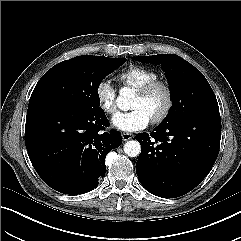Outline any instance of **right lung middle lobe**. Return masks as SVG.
Instances as JSON below:
<instances>
[{"instance_id":"dd1d6c3e","label":"right lung middle lobe","mask_w":241,"mask_h":241,"mask_svg":"<svg viewBox=\"0 0 241 241\" xmlns=\"http://www.w3.org/2000/svg\"><path fill=\"white\" fill-rule=\"evenodd\" d=\"M126 58L77 56L47 71L34 88L29 106L58 103L84 112L100 110L98 87Z\"/></svg>"}]
</instances>
